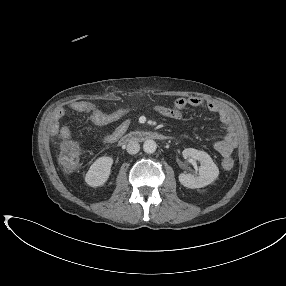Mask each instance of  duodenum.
<instances>
[{
  "label": "duodenum",
  "instance_id": "duodenum-1",
  "mask_svg": "<svg viewBox=\"0 0 286 286\" xmlns=\"http://www.w3.org/2000/svg\"><path fill=\"white\" fill-rule=\"evenodd\" d=\"M169 137L167 135L158 133V132H152V131H135L131 132L124 137L121 138L120 144H127L130 142H145L149 140H166Z\"/></svg>",
  "mask_w": 286,
  "mask_h": 286
}]
</instances>
